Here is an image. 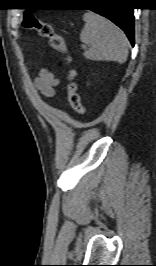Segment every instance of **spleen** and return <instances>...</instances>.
Returning <instances> with one entry per match:
<instances>
[{"label": "spleen", "mask_w": 156, "mask_h": 266, "mask_svg": "<svg viewBox=\"0 0 156 266\" xmlns=\"http://www.w3.org/2000/svg\"><path fill=\"white\" fill-rule=\"evenodd\" d=\"M85 25L80 40L89 45L84 57L92 61L124 63L128 57V40L124 32L108 19L93 13L84 14Z\"/></svg>", "instance_id": "spleen-1"}]
</instances>
